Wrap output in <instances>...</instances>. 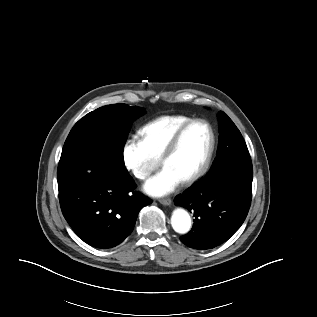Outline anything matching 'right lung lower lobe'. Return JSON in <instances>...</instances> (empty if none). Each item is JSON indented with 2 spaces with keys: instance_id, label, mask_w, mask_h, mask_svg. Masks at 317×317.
<instances>
[{
  "instance_id": "98d812e1",
  "label": "right lung lower lobe",
  "mask_w": 317,
  "mask_h": 317,
  "mask_svg": "<svg viewBox=\"0 0 317 317\" xmlns=\"http://www.w3.org/2000/svg\"><path fill=\"white\" fill-rule=\"evenodd\" d=\"M135 187L124 164L112 157L76 166L58 179L63 216L92 247H115L131 234L139 211L152 202Z\"/></svg>"
}]
</instances>
